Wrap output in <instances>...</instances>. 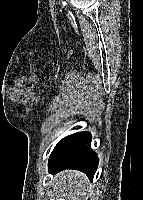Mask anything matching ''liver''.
I'll return each mask as SVG.
<instances>
[{
    "label": "liver",
    "instance_id": "liver-1",
    "mask_svg": "<svg viewBox=\"0 0 143 200\" xmlns=\"http://www.w3.org/2000/svg\"><path fill=\"white\" fill-rule=\"evenodd\" d=\"M91 185L84 173L76 170L61 171L54 183V200H87Z\"/></svg>",
    "mask_w": 143,
    "mask_h": 200
}]
</instances>
